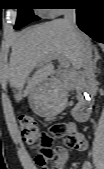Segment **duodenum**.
Segmentation results:
<instances>
[{"label":"duodenum","instance_id":"duodenum-1","mask_svg":"<svg viewBox=\"0 0 104 169\" xmlns=\"http://www.w3.org/2000/svg\"><path fill=\"white\" fill-rule=\"evenodd\" d=\"M56 78H63V76L60 73H57L55 75ZM80 101L74 108V118L77 122H87L89 120V106L91 104V99L86 98L83 93L79 94Z\"/></svg>","mask_w":104,"mask_h":169}]
</instances>
